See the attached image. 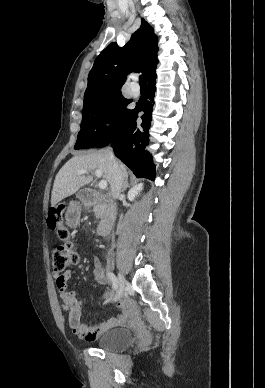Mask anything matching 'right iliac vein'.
Masks as SVG:
<instances>
[{
    "mask_svg": "<svg viewBox=\"0 0 265 388\" xmlns=\"http://www.w3.org/2000/svg\"><path fill=\"white\" fill-rule=\"evenodd\" d=\"M118 279H119V282H118V289H117V292L115 295V301H117L118 299H120L122 297V295L125 291L126 285H127V281L122 274L118 275Z\"/></svg>",
    "mask_w": 265,
    "mask_h": 388,
    "instance_id": "obj_1",
    "label": "right iliac vein"
}]
</instances>
